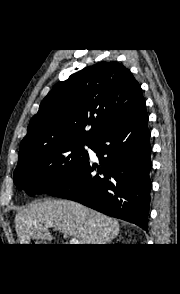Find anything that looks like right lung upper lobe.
I'll use <instances>...</instances> for the list:
<instances>
[{"mask_svg":"<svg viewBox=\"0 0 180 294\" xmlns=\"http://www.w3.org/2000/svg\"><path fill=\"white\" fill-rule=\"evenodd\" d=\"M142 101L140 85L118 62H99L78 71L56 84L41 102L20 144L18 162L42 148L93 142Z\"/></svg>","mask_w":180,"mask_h":294,"instance_id":"cb5924a9","label":"right lung upper lobe"}]
</instances>
